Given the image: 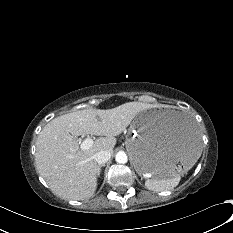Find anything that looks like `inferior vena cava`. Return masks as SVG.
Instances as JSON below:
<instances>
[{
	"mask_svg": "<svg viewBox=\"0 0 233 233\" xmlns=\"http://www.w3.org/2000/svg\"><path fill=\"white\" fill-rule=\"evenodd\" d=\"M110 157L111 152L108 150H100L93 155V159L100 165L106 163Z\"/></svg>",
	"mask_w": 233,
	"mask_h": 233,
	"instance_id": "inferior-vena-cava-1",
	"label": "inferior vena cava"
}]
</instances>
